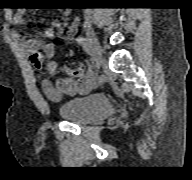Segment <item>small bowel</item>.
<instances>
[{"label":"small bowel","mask_w":192,"mask_h":180,"mask_svg":"<svg viewBox=\"0 0 192 180\" xmlns=\"http://www.w3.org/2000/svg\"><path fill=\"white\" fill-rule=\"evenodd\" d=\"M12 21L14 24H21L23 11L18 10L13 15ZM59 26L58 20L52 21L51 26L42 30L38 38L26 40L22 45L38 72L44 76L42 89L45 96L54 102H59L64 97L87 93L96 83L95 76L87 70L85 64H80L74 69L67 68L66 73L69 77L57 76L56 64L51 60L55 55V47L52 43H44L42 38H51L55 28ZM76 28L77 22L74 21L68 29V34L72 36Z\"/></svg>","instance_id":"1"}]
</instances>
